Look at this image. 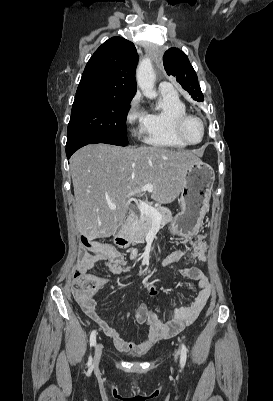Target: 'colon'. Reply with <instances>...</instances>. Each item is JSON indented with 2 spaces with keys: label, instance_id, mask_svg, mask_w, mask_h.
<instances>
[{
  "label": "colon",
  "instance_id": "5ec220e1",
  "mask_svg": "<svg viewBox=\"0 0 273 401\" xmlns=\"http://www.w3.org/2000/svg\"><path fill=\"white\" fill-rule=\"evenodd\" d=\"M80 255L85 257L87 252L82 250ZM82 257L76 258L75 263L78 268L74 278H71L70 280L71 287H77L72 290V295L74 297H85L87 293H100L102 291V286L100 284H93V279L90 278L92 269L94 268V263L92 261H85ZM147 289L152 290L153 286L148 285ZM157 314L158 311L150 317L151 322L154 321Z\"/></svg>",
  "mask_w": 273,
  "mask_h": 401
}]
</instances>
